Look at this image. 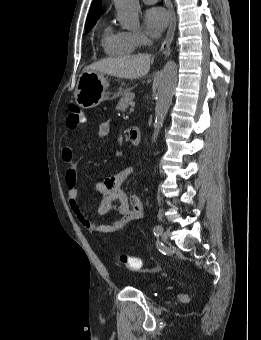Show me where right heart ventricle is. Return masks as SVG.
Here are the masks:
<instances>
[{"label":"right heart ventricle","instance_id":"right-heart-ventricle-1","mask_svg":"<svg viewBox=\"0 0 261 340\" xmlns=\"http://www.w3.org/2000/svg\"><path fill=\"white\" fill-rule=\"evenodd\" d=\"M101 45L110 56H128L138 47L130 32L116 30L110 25L103 31Z\"/></svg>","mask_w":261,"mask_h":340}]
</instances>
